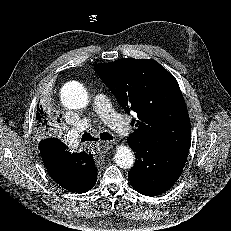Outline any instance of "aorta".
Returning <instances> with one entry per match:
<instances>
[{
	"label": "aorta",
	"instance_id": "762f6f07",
	"mask_svg": "<svg viewBox=\"0 0 231 231\" xmlns=\"http://www.w3.org/2000/svg\"><path fill=\"white\" fill-rule=\"evenodd\" d=\"M60 98L62 104L69 109H82L89 103L87 90L75 81L68 82L62 87ZM114 159L120 168L130 169L133 167L135 157L128 146L121 145L117 148Z\"/></svg>",
	"mask_w": 231,
	"mask_h": 231
}]
</instances>
